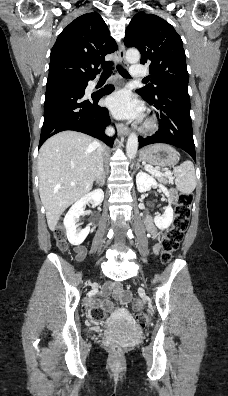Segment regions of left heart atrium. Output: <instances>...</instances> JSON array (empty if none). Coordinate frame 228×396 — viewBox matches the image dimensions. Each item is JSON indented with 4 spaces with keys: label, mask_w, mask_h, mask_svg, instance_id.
Wrapping results in <instances>:
<instances>
[{
    "label": "left heart atrium",
    "mask_w": 228,
    "mask_h": 396,
    "mask_svg": "<svg viewBox=\"0 0 228 396\" xmlns=\"http://www.w3.org/2000/svg\"><path fill=\"white\" fill-rule=\"evenodd\" d=\"M107 105L118 117L137 119L142 116V105L125 90L118 91L109 96Z\"/></svg>",
    "instance_id": "1"
}]
</instances>
